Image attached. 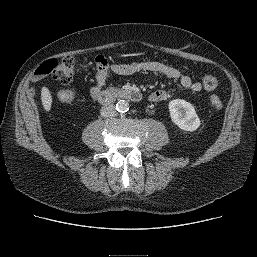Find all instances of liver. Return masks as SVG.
Masks as SVG:
<instances>
[{"label": "liver", "mask_w": 257, "mask_h": 257, "mask_svg": "<svg viewBox=\"0 0 257 257\" xmlns=\"http://www.w3.org/2000/svg\"><path fill=\"white\" fill-rule=\"evenodd\" d=\"M41 101L44 109L50 111L52 106V96L48 88L43 87L41 90Z\"/></svg>", "instance_id": "6515ba94"}]
</instances>
